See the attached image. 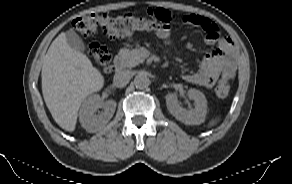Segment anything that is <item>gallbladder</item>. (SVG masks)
Returning <instances> with one entry per match:
<instances>
[{
  "label": "gallbladder",
  "instance_id": "gallbladder-1",
  "mask_svg": "<svg viewBox=\"0 0 292 184\" xmlns=\"http://www.w3.org/2000/svg\"><path fill=\"white\" fill-rule=\"evenodd\" d=\"M66 40L68 45L80 52H83L85 50V45L82 41V39L79 37V35L72 29L68 30L65 33Z\"/></svg>",
  "mask_w": 292,
  "mask_h": 184
}]
</instances>
